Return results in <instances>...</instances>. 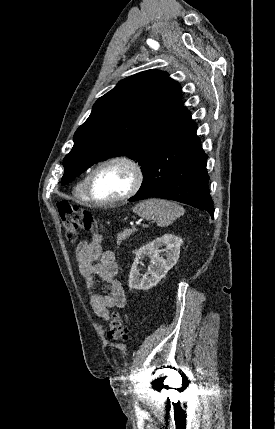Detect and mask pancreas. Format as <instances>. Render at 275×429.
<instances>
[{
	"instance_id": "cf45deb5",
	"label": "pancreas",
	"mask_w": 275,
	"mask_h": 429,
	"mask_svg": "<svg viewBox=\"0 0 275 429\" xmlns=\"http://www.w3.org/2000/svg\"><path fill=\"white\" fill-rule=\"evenodd\" d=\"M135 231H136L135 228L126 229L122 233L118 234V236H117V244L120 245L123 240L127 239L128 237H130Z\"/></svg>"
}]
</instances>
